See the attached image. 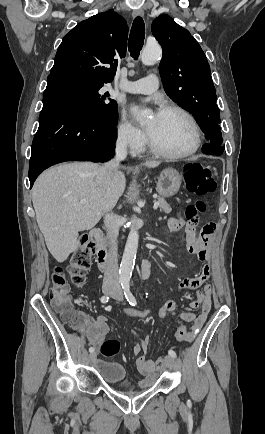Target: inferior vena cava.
I'll use <instances>...</instances> for the list:
<instances>
[{
	"label": "inferior vena cava",
	"instance_id": "602c4592",
	"mask_svg": "<svg viewBox=\"0 0 265 434\" xmlns=\"http://www.w3.org/2000/svg\"><path fill=\"white\" fill-rule=\"evenodd\" d=\"M116 156L111 162H107L104 166H100L98 170V180L101 186L110 184L115 170L118 168L119 162L125 160L127 156V140H117L115 148ZM104 224L107 232L108 254L106 258V270L104 272L105 282H114L119 286L118 274V258H117V236L118 228L114 222L113 214H104Z\"/></svg>",
	"mask_w": 265,
	"mask_h": 434
}]
</instances>
